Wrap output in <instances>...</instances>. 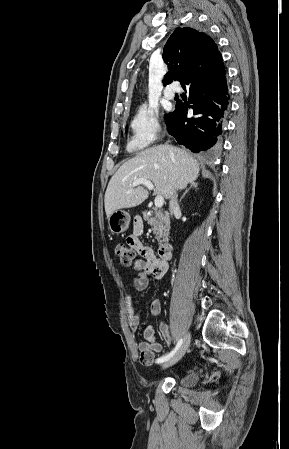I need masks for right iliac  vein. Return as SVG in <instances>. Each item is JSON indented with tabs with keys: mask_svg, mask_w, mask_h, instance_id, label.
<instances>
[{
	"mask_svg": "<svg viewBox=\"0 0 289 449\" xmlns=\"http://www.w3.org/2000/svg\"><path fill=\"white\" fill-rule=\"evenodd\" d=\"M190 341H191V335L190 333H187L186 336L184 337L183 343L180 346V348L177 350V352L167 361H165L162 364V368H168L174 364H176L186 353L189 345H190Z\"/></svg>",
	"mask_w": 289,
	"mask_h": 449,
	"instance_id": "obj_1",
	"label": "right iliac vein"
}]
</instances>
